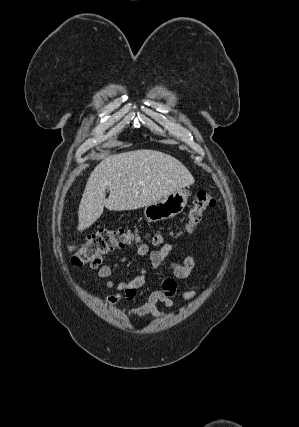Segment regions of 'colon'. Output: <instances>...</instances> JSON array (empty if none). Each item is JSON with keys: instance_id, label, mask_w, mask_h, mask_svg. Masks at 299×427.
<instances>
[{"instance_id": "5ec220e1", "label": "colon", "mask_w": 299, "mask_h": 427, "mask_svg": "<svg viewBox=\"0 0 299 427\" xmlns=\"http://www.w3.org/2000/svg\"><path fill=\"white\" fill-rule=\"evenodd\" d=\"M216 205V200L208 190H200L193 199L188 213V220L183 226V232H191L203 221L205 212ZM135 239L134 230L131 228H101L93 233L89 239L72 256L71 263L74 267L94 265L101 259L115 251L123 248ZM154 245L163 243V237L155 234L151 238Z\"/></svg>"}]
</instances>
